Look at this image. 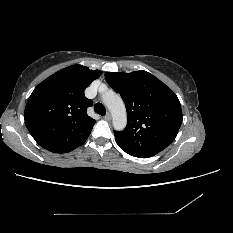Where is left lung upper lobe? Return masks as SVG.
<instances>
[{
	"label": "left lung upper lobe",
	"mask_w": 233,
	"mask_h": 233,
	"mask_svg": "<svg viewBox=\"0 0 233 233\" xmlns=\"http://www.w3.org/2000/svg\"><path fill=\"white\" fill-rule=\"evenodd\" d=\"M107 83L125 103V130L114 131L117 144L135 155L151 157L164 150L177 136L182 124L176 94L147 71L107 72Z\"/></svg>",
	"instance_id": "1"
}]
</instances>
